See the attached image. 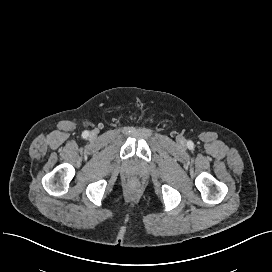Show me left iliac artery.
Listing matches in <instances>:
<instances>
[{"mask_svg":"<svg viewBox=\"0 0 272 272\" xmlns=\"http://www.w3.org/2000/svg\"><path fill=\"white\" fill-rule=\"evenodd\" d=\"M189 145H190V146H192V145H193V143H192V142H189Z\"/></svg>","mask_w":272,"mask_h":272,"instance_id":"44dca946","label":"left iliac artery"}]
</instances>
